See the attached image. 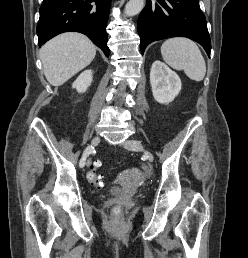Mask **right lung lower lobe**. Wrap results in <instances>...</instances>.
Here are the masks:
<instances>
[{
    "mask_svg": "<svg viewBox=\"0 0 248 258\" xmlns=\"http://www.w3.org/2000/svg\"><path fill=\"white\" fill-rule=\"evenodd\" d=\"M111 0H43L37 25L38 45L68 31L87 35L109 56L106 26Z\"/></svg>",
    "mask_w": 248,
    "mask_h": 258,
    "instance_id": "right-lung-lower-lobe-1",
    "label": "right lung lower lobe"
}]
</instances>
